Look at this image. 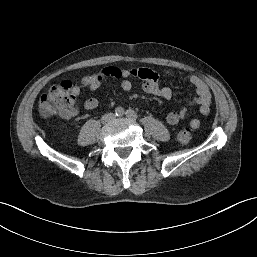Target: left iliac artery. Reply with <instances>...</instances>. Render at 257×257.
<instances>
[{
	"label": "left iliac artery",
	"instance_id": "left-iliac-artery-1",
	"mask_svg": "<svg viewBox=\"0 0 257 257\" xmlns=\"http://www.w3.org/2000/svg\"><path fill=\"white\" fill-rule=\"evenodd\" d=\"M125 114L128 118H131V119H137L138 117L137 113L131 109L127 110Z\"/></svg>",
	"mask_w": 257,
	"mask_h": 257
}]
</instances>
